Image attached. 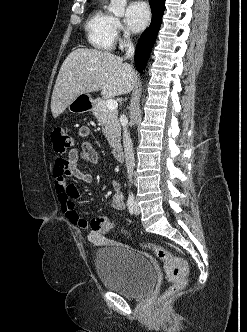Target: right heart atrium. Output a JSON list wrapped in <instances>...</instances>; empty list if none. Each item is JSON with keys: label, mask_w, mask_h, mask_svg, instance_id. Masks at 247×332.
<instances>
[{"label": "right heart atrium", "mask_w": 247, "mask_h": 332, "mask_svg": "<svg viewBox=\"0 0 247 332\" xmlns=\"http://www.w3.org/2000/svg\"><path fill=\"white\" fill-rule=\"evenodd\" d=\"M114 28H115V32L117 34H122L124 32L122 24L120 23V21L118 19L114 20Z\"/></svg>", "instance_id": "obj_1"}]
</instances>
